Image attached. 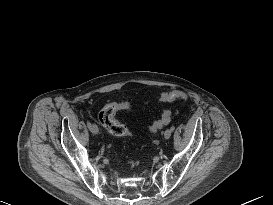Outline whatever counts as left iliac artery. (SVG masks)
Segmentation results:
<instances>
[{
  "label": "left iliac artery",
  "instance_id": "obj_1",
  "mask_svg": "<svg viewBox=\"0 0 273 205\" xmlns=\"http://www.w3.org/2000/svg\"><path fill=\"white\" fill-rule=\"evenodd\" d=\"M174 129H175V127H174V126H172V127L170 128L171 132H173V131H174Z\"/></svg>",
  "mask_w": 273,
  "mask_h": 205
}]
</instances>
